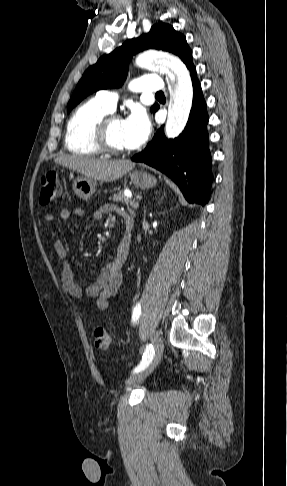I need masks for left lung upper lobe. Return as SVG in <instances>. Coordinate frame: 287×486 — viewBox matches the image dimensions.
Listing matches in <instances>:
<instances>
[{"mask_svg":"<svg viewBox=\"0 0 287 486\" xmlns=\"http://www.w3.org/2000/svg\"><path fill=\"white\" fill-rule=\"evenodd\" d=\"M150 48L171 52L179 56L184 63L192 55L184 35L175 31L169 24L156 23L147 34L126 41L122 46L103 55L96 64L90 66L78 82L68 102L67 112L69 113L85 97L95 91L120 87L126 78L131 57ZM158 108L159 106L154 104L151 111L155 112Z\"/></svg>","mask_w":287,"mask_h":486,"instance_id":"5c2ea615","label":"left lung upper lobe"}]
</instances>
